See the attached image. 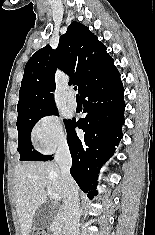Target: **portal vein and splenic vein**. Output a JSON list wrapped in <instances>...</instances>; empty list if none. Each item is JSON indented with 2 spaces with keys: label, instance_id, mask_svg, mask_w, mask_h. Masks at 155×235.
Returning <instances> with one entry per match:
<instances>
[{
  "label": "portal vein and splenic vein",
  "instance_id": "portal-vein-and-splenic-vein-1",
  "mask_svg": "<svg viewBox=\"0 0 155 235\" xmlns=\"http://www.w3.org/2000/svg\"><path fill=\"white\" fill-rule=\"evenodd\" d=\"M48 195H50V197L52 198V199H54V200H60V196H59V194H57V193H55V192H53V191H51V190H48Z\"/></svg>",
  "mask_w": 155,
  "mask_h": 235
}]
</instances>
